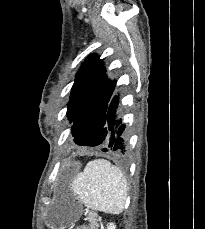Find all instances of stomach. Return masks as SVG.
<instances>
[{
    "label": "stomach",
    "instance_id": "0dacf381",
    "mask_svg": "<svg viewBox=\"0 0 205 229\" xmlns=\"http://www.w3.org/2000/svg\"><path fill=\"white\" fill-rule=\"evenodd\" d=\"M79 213L70 204L56 202L46 214V224L51 229H66L78 218Z\"/></svg>",
    "mask_w": 205,
    "mask_h": 229
}]
</instances>
